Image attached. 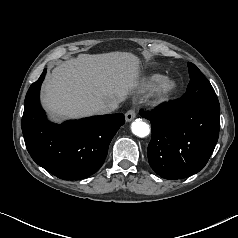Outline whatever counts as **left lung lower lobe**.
Masks as SVG:
<instances>
[{
  "label": "left lung lower lobe",
  "mask_w": 238,
  "mask_h": 238,
  "mask_svg": "<svg viewBox=\"0 0 238 238\" xmlns=\"http://www.w3.org/2000/svg\"><path fill=\"white\" fill-rule=\"evenodd\" d=\"M140 115L152 125L148 161L159 176L183 179L203 169L219 136V102H201L182 109L177 99Z\"/></svg>",
  "instance_id": "1"
}]
</instances>
